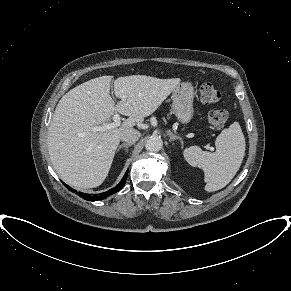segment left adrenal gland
I'll return each instance as SVG.
<instances>
[{
  "instance_id": "a2214340",
  "label": "left adrenal gland",
  "mask_w": 291,
  "mask_h": 291,
  "mask_svg": "<svg viewBox=\"0 0 291 291\" xmlns=\"http://www.w3.org/2000/svg\"><path fill=\"white\" fill-rule=\"evenodd\" d=\"M167 135L169 136V141H174V140H180L181 138L179 136H176L175 134H173L170 130L167 131Z\"/></svg>"
}]
</instances>
